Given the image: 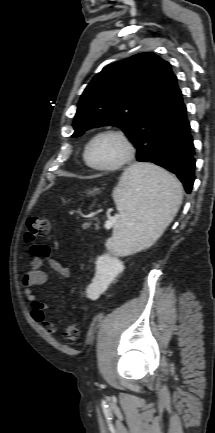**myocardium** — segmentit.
<instances>
[{
    "label": "myocardium",
    "instance_id": "1",
    "mask_svg": "<svg viewBox=\"0 0 215 433\" xmlns=\"http://www.w3.org/2000/svg\"><path fill=\"white\" fill-rule=\"evenodd\" d=\"M107 135L115 136L118 139H120V141L124 145V155L115 164L106 165V166L95 165L89 159V150H90L92 144L98 138H100L102 136H107ZM134 155H135V146H134V143L132 142V140L130 139V137L121 129L109 128V129H104V130L96 133L88 141V143L86 144L85 149H84L83 157H84V161L88 167H90L94 170H97V171L113 172V171H118V170L124 168L126 165H128L132 161V159L134 158Z\"/></svg>",
    "mask_w": 215,
    "mask_h": 433
}]
</instances>
